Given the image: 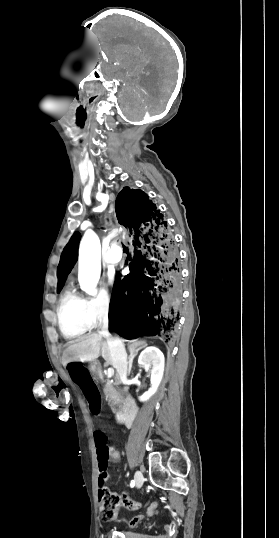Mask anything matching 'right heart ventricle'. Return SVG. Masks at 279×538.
I'll return each mask as SVG.
<instances>
[{"label":"right heart ventricle","instance_id":"e07e8e85","mask_svg":"<svg viewBox=\"0 0 279 538\" xmlns=\"http://www.w3.org/2000/svg\"><path fill=\"white\" fill-rule=\"evenodd\" d=\"M87 234L90 232L85 235ZM88 304L89 298L77 292L71 282L62 293L57 306L58 325L64 337H79L92 328Z\"/></svg>","mask_w":279,"mask_h":538}]
</instances>
